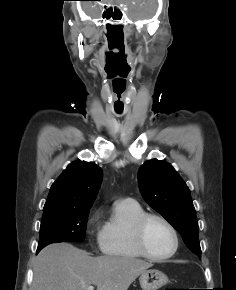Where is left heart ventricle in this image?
I'll return each mask as SVG.
<instances>
[{
  "mask_svg": "<svg viewBox=\"0 0 236 290\" xmlns=\"http://www.w3.org/2000/svg\"><path fill=\"white\" fill-rule=\"evenodd\" d=\"M145 241L148 250L158 256L168 254L174 245L170 230L158 220H150L147 223Z\"/></svg>",
  "mask_w": 236,
  "mask_h": 290,
  "instance_id": "left-heart-ventricle-1",
  "label": "left heart ventricle"
}]
</instances>
